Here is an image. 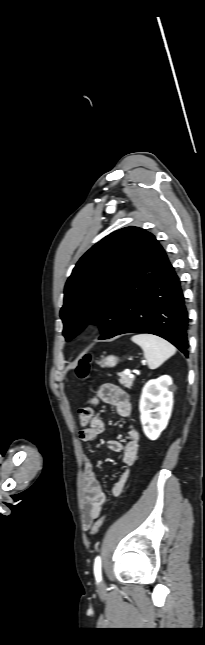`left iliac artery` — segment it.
Masks as SVG:
<instances>
[{
  "label": "left iliac artery",
  "instance_id": "1",
  "mask_svg": "<svg viewBox=\"0 0 205 645\" xmlns=\"http://www.w3.org/2000/svg\"><path fill=\"white\" fill-rule=\"evenodd\" d=\"M94 574L96 579L101 580V558L97 556L94 562Z\"/></svg>",
  "mask_w": 205,
  "mask_h": 645
}]
</instances>
